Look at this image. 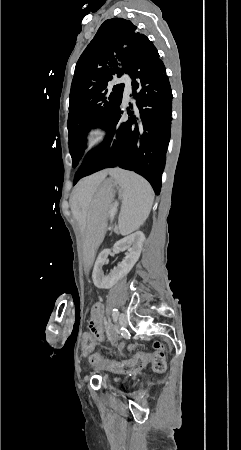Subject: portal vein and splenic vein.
<instances>
[{
  "instance_id": "obj_1",
  "label": "portal vein and splenic vein",
  "mask_w": 241,
  "mask_h": 450,
  "mask_svg": "<svg viewBox=\"0 0 241 450\" xmlns=\"http://www.w3.org/2000/svg\"><path fill=\"white\" fill-rule=\"evenodd\" d=\"M117 206H118V203L117 202H114L113 204H109L108 205V208L110 209L109 211H110V213H116L117 212Z\"/></svg>"
}]
</instances>
